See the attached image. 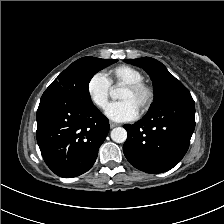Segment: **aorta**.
Returning a JSON list of instances; mask_svg holds the SVG:
<instances>
[{
  "label": "aorta",
  "mask_w": 224,
  "mask_h": 224,
  "mask_svg": "<svg viewBox=\"0 0 224 224\" xmlns=\"http://www.w3.org/2000/svg\"><path fill=\"white\" fill-rule=\"evenodd\" d=\"M110 96L113 99L119 98V90L111 88ZM111 139L116 143H124L127 139V131L123 127H116L111 131Z\"/></svg>",
  "instance_id": "1"
}]
</instances>
